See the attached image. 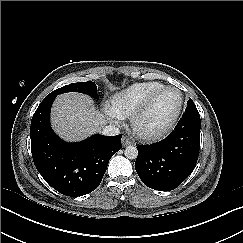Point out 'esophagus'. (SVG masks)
<instances>
[{
  "mask_svg": "<svg viewBox=\"0 0 243 243\" xmlns=\"http://www.w3.org/2000/svg\"><path fill=\"white\" fill-rule=\"evenodd\" d=\"M131 144H132V142L130 141L129 138H127V137L122 138V145L123 146H128V145H131Z\"/></svg>",
  "mask_w": 243,
  "mask_h": 243,
  "instance_id": "34e87169",
  "label": "esophagus"
}]
</instances>
